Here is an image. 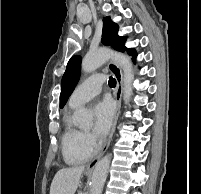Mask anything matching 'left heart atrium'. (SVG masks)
Instances as JSON below:
<instances>
[{
  "instance_id": "left-heart-atrium-1",
  "label": "left heart atrium",
  "mask_w": 201,
  "mask_h": 194,
  "mask_svg": "<svg viewBox=\"0 0 201 194\" xmlns=\"http://www.w3.org/2000/svg\"><path fill=\"white\" fill-rule=\"evenodd\" d=\"M114 105L111 100L103 99L94 107V134L98 137H104L113 123Z\"/></svg>"
}]
</instances>
